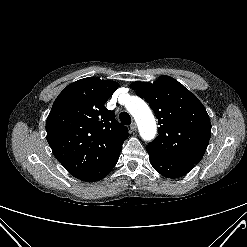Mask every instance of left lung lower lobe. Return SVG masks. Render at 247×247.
I'll list each match as a JSON object with an SVG mask.
<instances>
[{
    "instance_id": "1",
    "label": "left lung lower lobe",
    "mask_w": 247,
    "mask_h": 247,
    "mask_svg": "<svg viewBox=\"0 0 247 247\" xmlns=\"http://www.w3.org/2000/svg\"><path fill=\"white\" fill-rule=\"evenodd\" d=\"M153 168L167 178H178L192 170L195 164L168 158L152 149L146 148Z\"/></svg>"
}]
</instances>
